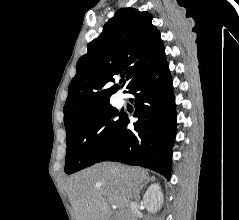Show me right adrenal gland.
Instances as JSON below:
<instances>
[{
	"mask_svg": "<svg viewBox=\"0 0 239 220\" xmlns=\"http://www.w3.org/2000/svg\"><path fill=\"white\" fill-rule=\"evenodd\" d=\"M150 181H154V179L153 178H148L145 182H144V184L143 185H141V187L139 188V190L137 191V194H136V200L137 199H140V191L143 189V187L145 186V185H147V183L148 182H150Z\"/></svg>",
	"mask_w": 239,
	"mask_h": 220,
	"instance_id": "obj_1",
	"label": "right adrenal gland"
}]
</instances>
